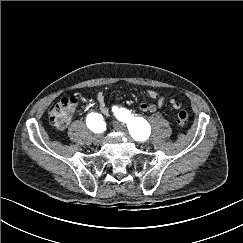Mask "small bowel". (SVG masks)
I'll list each match as a JSON object with an SVG mask.
<instances>
[{
    "label": "small bowel",
    "mask_w": 243,
    "mask_h": 243,
    "mask_svg": "<svg viewBox=\"0 0 243 243\" xmlns=\"http://www.w3.org/2000/svg\"><path fill=\"white\" fill-rule=\"evenodd\" d=\"M147 95L155 101V104H148L142 102L139 104V110L142 112H156L160 109H163L165 106L166 99L163 95H161L158 91L149 88L147 90ZM96 101L98 104V108L103 115L109 114V108L107 107L104 97L102 93H98L96 95ZM181 108V104L177 102L174 98H170L168 100V105L166 106V110L169 112L176 111Z\"/></svg>",
    "instance_id": "c3829d8e"
}]
</instances>
